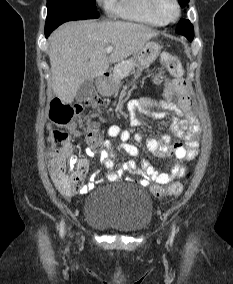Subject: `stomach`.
Segmentation results:
<instances>
[{"instance_id":"0dacf381","label":"stomach","mask_w":233,"mask_h":284,"mask_svg":"<svg viewBox=\"0 0 233 284\" xmlns=\"http://www.w3.org/2000/svg\"><path fill=\"white\" fill-rule=\"evenodd\" d=\"M161 48L162 47L158 43L148 41L137 53H135L137 69L132 72L135 78H138L142 71L156 60L160 54ZM119 85L120 81L114 73L112 77L106 79L98 88L100 93L104 95H112L118 90Z\"/></svg>"}]
</instances>
